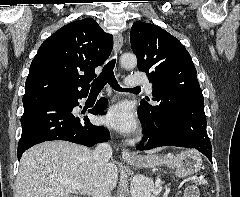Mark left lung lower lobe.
Instances as JSON below:
<instances>
[{
  "label": "left lung lower lobe",
  "mask_w": 240,
  "mask_h": 197,
  "mask_svg": "<svg viewBox=\"0 0 240 197\" xmlns=\"http://www.w3.org/2000/svg\"><path fill=\"white\" fill-rule=\"evenodd\" d=\"M138 116L148 126L143 137L148 143L139 150L160 146L195 148L212 162L203 98L184 93L169 104H158L150 111L139 106Z\"/></svg>",
  "instance_id": "0a47b994"
}]
</instances>
